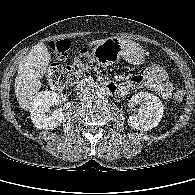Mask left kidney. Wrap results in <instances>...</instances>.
<instances>
[{
  "label": "left kidney",
  "mask_w": 195,
  "mask_h": 195,
  "mask_svg": "<svg viewBox=\"0 0 195 195\" xmlns=\"http://www.w3.org/2000/svg\"><path fill=\"white\" fill-rule=\"evenodd\" d=\"M130 104L139 105L136 114L128 118V124L134 129L148 131L156 127L163 116V104L152 93H137L131 97Z\"/></svg>",
  "instance_id": "obj_1"
}]
</instances>
